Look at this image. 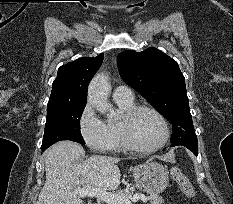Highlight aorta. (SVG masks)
Masks as SVG:
<instances>
[{
  "label": "aorta",
  "mask_w": 233,
  "mask_h": 204,
  "mask_svg": "<svg viewBox=\"0 0 233 204\" xmlns=\"http://www.w3.org/2000/svg\"><path fill=\"white\" fill-rule=\"evenodd\" d=\"M110 85L108 77L104 73L97 74L88 87V102L101 114L108 118H113L116 111L112 104L108 102Z\"/></svg>",
  "instance_id": "aorta-1"
}]
</instances>
